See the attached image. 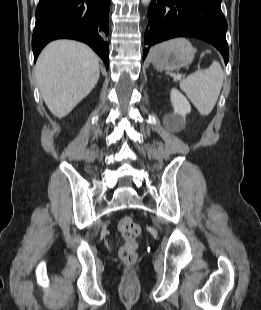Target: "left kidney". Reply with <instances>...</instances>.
<instances>
[{
  "mask_svg": "<svg viewBox=\"0 0 261 310\" xmlns=\"http://www.w3.org/2000/svg\"><path fill=\"white\" fill-rule=\"evenodd\" d=\"M170 100L174 112L165 116V123L171 128H180L183 126L185 116L191 112V106L186 97L177 89L171 90Z\"/></svg>",
  "mask_w": 261,
  "mask_h": 310,
  "instance_id": "left-kidney-1",
  "label": "left kidney"
}]
</instances>
